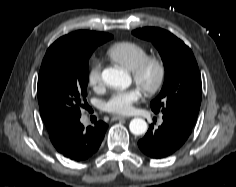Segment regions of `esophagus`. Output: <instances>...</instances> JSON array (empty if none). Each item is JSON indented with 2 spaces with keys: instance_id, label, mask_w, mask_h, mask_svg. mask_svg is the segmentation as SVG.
<instances>
[{
  "instance_id": "34e87169",
  "label": "esophagus",
  "mask_w": 236,
  "mask_h": 187,
  "mask_svg": "<svg viewBox=\"0 0 236 187\" xmlns=\"http://www.w3.org/2000/svg\"><path fill=\"white\" fill-rule=\"evenodd\" d=\"M128 117H125V116H120V115H115V116H113L111 119L113 120V121H116V120H125V119H127Z\"/></svg>"
}]
</instances>
